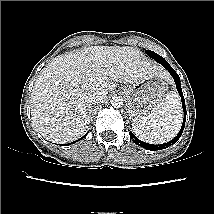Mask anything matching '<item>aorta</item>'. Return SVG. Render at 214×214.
<instances>
[{
  "label": "aorta",
  "instance_id": "762f6f07",
  "mask_svg": "<svg viewBox=\"0 0 214 214\" xmlns=\"http://www.w3.org/2000/svg\"><path fill=\"white\" fill-rule=\"evenodd\" d=\"M114 108H120L123 105V98L121 96H113L110 101Z\"/></svg>",
  "mask_w": 214,
  "mask_h": 214
}]
</instances>
